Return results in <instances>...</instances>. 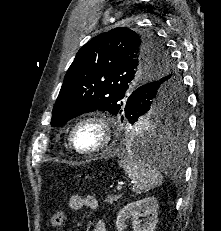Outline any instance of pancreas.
Returning a JSON list of instances; mask_svg holds the SVG:
<instances>
[{
    "label": "pancreas",
    "mask_w": 221,
    "mask_h": 231,
    "mask_svg": "<svg viewBox=\"0 0 221 231\" xmlns=\"http://www.w3.org/2000/svg\"><path fill=\"white\" fill-rule=\"evenodd\" d=\"M120 195H115V196H112V195H108L106 198H105V202L106 203H109V204H113L114 201H118L120 199Z\"/></svg>",
    "instance_id": "pancreas-1"
}]
</instances>
